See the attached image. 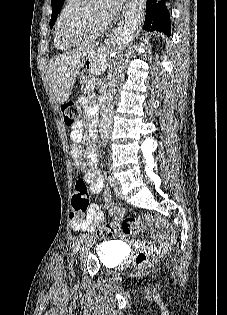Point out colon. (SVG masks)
<instances>
[{
    "mask_svg": "<svg viewBox=\"0 0 227 315\" xmlns=\"http://www.w3.org/2000/svg\"><path fill=\"white\" fill-rule=\"evenodd\" d=\"M64 122L67 126H73L79 116V108L72 102L62 105ZM90 208V200L86 182L78 179L71 200V217H84ZM153 221L152 216L142 218L116 219L115 222H108L97 229L100 237H112L119 231L126 234H136L144 231ZM154 258L151 255L139 253L135 258V265L138 270H144L153 264Z\"/></svg>",
    "mask_w": 227,
    "mask_h": 315,
    "instance_id": "colon-1",
    "label": "colon"
}]
</instances>
